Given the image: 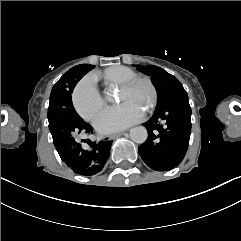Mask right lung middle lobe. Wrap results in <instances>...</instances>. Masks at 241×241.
Listing matches in <instances>:
<instances>
[{
	"label": "right lung middle lobe",
	"instance_id": "dd1d6c3e",
	"mask_svg": "<svg viewBox=\"0 0 241 241\" xmlns=\"http://www.w3.org/2000/svg\"><path fill=\"white\" fill-rule=\"evenodd\" d=\"M94 68L95 66L92 65ZM79 69V65L71 68L66 72L60 80L53 86L48 108L49 129L53 137V142L56 141L59 133L71 125L83 121V119L75 111L71 93V87L74 74Z\"/></svg>",
	"mask_w": 241,
	"mask_h": 241
}]
</instances>
